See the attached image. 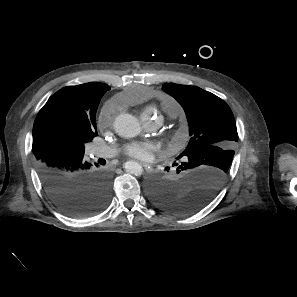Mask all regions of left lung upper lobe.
Returning a JSON list of instances; mask_svg holds the SVG:
<instances>
[{"instance_id":"1","label":"left lung upper lobe","mask_w":297,"mask_h":297,"mask_svg":"<svg viewBox=\"0 0 297 297\" xmlns=\"http://www.w3.org/2000/svg\"><path fill=\"white\" fill-rule=\"evenodd\" d=\"M162 89L182 105L189 122L190 141L177 159L186 168H211L226 177L238 142L229 106L199 87L166 83Z\"/></svg>"}]
</instances>
